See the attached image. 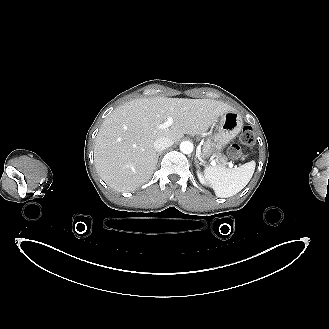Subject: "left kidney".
Returning <instances> with one entry per match:
<instances>
[{
    "mask_svg": "<svg viewBox=\"0 0 329 329\" xmlns=\"http://www.w3.org/2000/svg\"><path fill=\"white\" fill-rule=\"evenodd\" d=\"M196 173H197V176H198V179H199L200 183L206 185V181H205V179H204V177H203L201 171L198 169V170L196 171Z\"/></svg>",
    "mask_w": 329,
    "mask_h": 329,
    "instance_id": "left-kidney-1",
    "label": "left kidney"
}]
</instances>
